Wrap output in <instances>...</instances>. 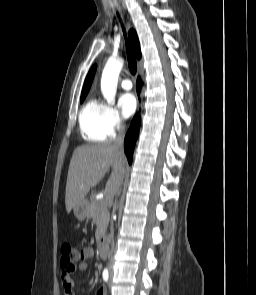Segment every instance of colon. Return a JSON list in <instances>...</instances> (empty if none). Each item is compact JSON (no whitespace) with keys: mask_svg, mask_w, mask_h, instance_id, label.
Returning <instances> with one entry per match:
<instances>
[{"mask_svg":"<svg viewBox=\"0 0 256 295\" xmlns=\"http://www.w3.org/2000/svg\"><path fill=\"white\" fill-rule=\"evenodd\" d=\"M61 259L60 264L64 269L74 270L79 262V254L74 247L68 243L61 246L60 249Z\"/></svg>","mask_w":256,"mask_h":295,"instance_id":"obj_1","label":"colon"}]
</instances>
